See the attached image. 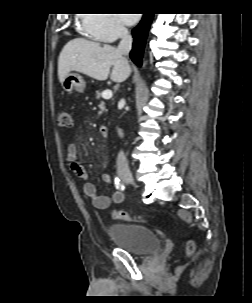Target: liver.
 <instances>
[{
    "mask_svg": "<svg viewBox=\"0 0 252 303\" xmlns=\"http://www.w3.org/2000/svg\"><path fill=\"white\" fill-rule=\"evenodd\" d=\"M113 67L110 74V69ZM76 71L96 80L104 81L110 74L113 82H124L131 69L121 53L111 45L76 38L62 49L58 59V78L62 83L71 72Z\"/></svg>",
    "mask_w": 252,
    "mask_h": 303,
    "instance_id": "liver-1",
    "label": "liver"
}]
</instances>
